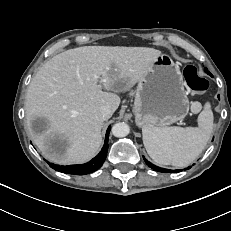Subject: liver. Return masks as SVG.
I'll use <instances>...</instances> for the list:
<instances>
[{
    "instance_id": "1",
    "label": "liver",
    "mask_w": 231,
    "mask_h": 231,
    "mask_svg": "<svg viewBox=\"0 0 231 231\" xmlns=\"http://www.w3.org/2000/svg\"><path fill=\"white\" fill-rule=\"evenodd\" d=\"M160 55L148 47L84 46L47 61L29 84L25 101L27 127L42 155L56 164L93 158L102 144L101 106L114 113L121 101L117 93L129 91ZM36 118L49 124L40 134L31 127ZM55 137L65 142L63 152L51 150Z\"/></svg>"
}]
</instances>
